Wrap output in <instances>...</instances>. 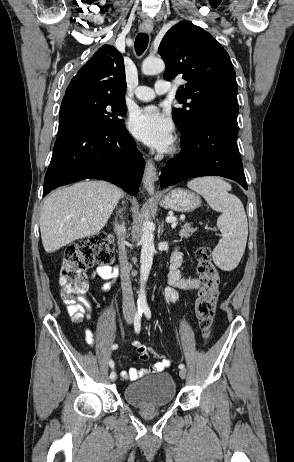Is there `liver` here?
<instances>
[{
	"label": "liver",
	"instance_id": "obj_1",
	"mask_svg": "<svg viewBox=\"0 0 294 462\" xmlns=\"http://www.w3.org/2000/svg\"><path fill=\"white\" fill-rule=\"evenodd\" d=\"M123 191L105 181H87L53 192L44 202L40 232L47 253L99 233Z\"/></svg>",
	"mask_w": 294,
	"mask_h": 462
}]
</instances>
